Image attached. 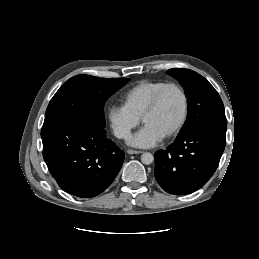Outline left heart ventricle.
Wrapping results in <instances>:
<instances>
[{
	"instance_id": "left-heart-ventricle-1",
	"label": "left heart ventricle",
	"mask_w": 259,
	"mask_h": 259,
	"mask_svg": "<svg viewBox=\"0 0 259 259\" xmlns=\"http://www.w3.org/2000/svg\"><path fill=\"white\" fill-rule=\"evenodd\" d=\"M183 110V99L175 88L168 89L162 97L158 109L148 116L144 125L164 137L179 122Z\"/></svg>"
}]
</instances>
